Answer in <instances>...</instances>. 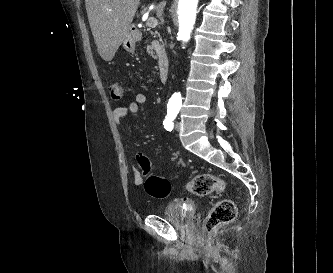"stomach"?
I'll use <instances>...</instances> for the list:
<instances>
[{
    "label": "stomach",
    "mask_w": 333,
    "mask_h": 273,
    "mask_svg": "<svg viewBox=\"0 0 333 273\" xmlns=\"http://www.w3.org/2000/svg\"><path fill=\"white\" fill-rule=\"evenodd\" d=\"M137 37L134 32H129L123 41V47L128 52H133L136 46Z\"/></svg>",
    "instance_id": "1"
}]
</instances>
